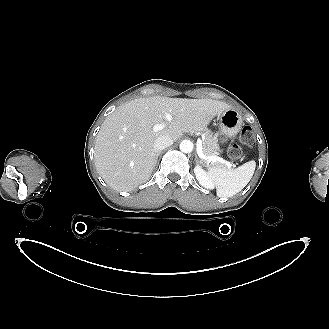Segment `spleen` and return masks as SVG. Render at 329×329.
<instances>
[{"label": "spleen", "instance_id": "obj_1", "mask_svg": "<svg viewBox=\"0 0 329 329\" xmlns=\"http://www.w3.org/2000/svg\"><path fill=\"white\" fill-rule=\"evenodd\" d=\"M256 167L255 161L229 169L223 166L209 167L208 174L216 186L218 197H232L240 192L251 180Z\"/></svg>", "mask_w": 329, "mask_h": 329}]
</instances>
